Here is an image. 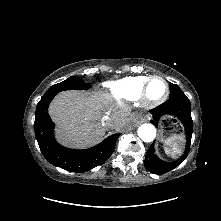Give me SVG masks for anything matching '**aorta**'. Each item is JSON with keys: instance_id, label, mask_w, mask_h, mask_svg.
<instances>
[{"instance_id": "762f6f07", "label": "aorta", "mask_w": 221, "mask_h": 221, "mask_svg": "<svg viewBox=\"0 0 221 221\" xmlns=\"http://www.w3.org/2000/svg\"><path fill=\"white\" fill-rule=\"evenodd\" d=\"M138 136L144 142H152L156 137V129L152 124H142L138 128Z\"/></svg>"}]
</instances>
